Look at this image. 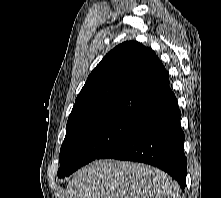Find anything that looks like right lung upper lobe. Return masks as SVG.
I'll use <instances>...</instances> for the list:
<instances>
[{"instance_id": "right-lung-upper-lobe-1", "label": "right lung upper lobe", "mask_w": 221, "mask_h": 198, "mask_svg": "<svg viewBox=\"0 0 221 198\" xmlns=\"http://www.w3.org/2000/svg\"><path fill=\"white\" fill-rule=\"evenodd\" d=\"M173 95L156 54L136 41L124 42L107 53L89 75L66 132L109 116L143 119Z\"/></svg>"}]
</instances>
